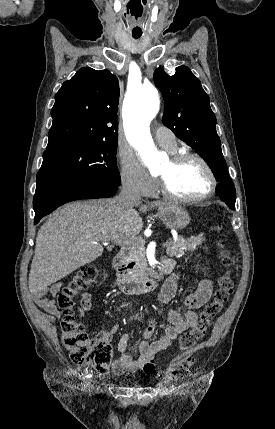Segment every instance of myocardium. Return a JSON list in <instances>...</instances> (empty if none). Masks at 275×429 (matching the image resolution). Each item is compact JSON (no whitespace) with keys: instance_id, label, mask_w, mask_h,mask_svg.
<instances>
[{"instance_id":"1","label":"myocardium","mask_w":275,"mask_h":429,"mask_svg":"<svg viewBox=\"0 0 275 429\" xmlns=\"http://www.w3.org/2000/svg\"><path fill=\"white\" fill-rule=\"evenodd\" d=\"M189 160L198 161L207 172V175L210 181V186L208 191L204 195L200 197H194V198L178 196L169 190L164 180L161 178H159V188L162 195L170 200L183 203V204H198L208 200L215 194L218 186V180L211 165L208 163V161L205 158H203L199 154L191 153V152H180V153L173 154L170 157V161L173 164H180L182 162L189 161Z\"/></svg>"}]
</instances>
